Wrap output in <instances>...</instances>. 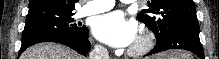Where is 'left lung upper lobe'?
<instances>
[{
	"instance_id": "obj_1",
	"label": "left lung upper lobe",
	"mask_w": 219,
	"mask_h": 59,
	"mask_svg": "<svg viewBox=\"0 0 219 59\" xmlns=\"http://www.w3.org/2000/svg\"><path fill=\"white\" fill-rule=\"evenodd\" d=\"M147 4L149 8L137 19L154 32L157 40L185 24L198 23L193 0H150Z\"/></svg>"
}]
</instances>
